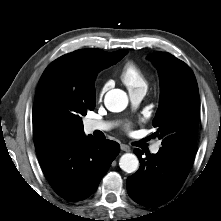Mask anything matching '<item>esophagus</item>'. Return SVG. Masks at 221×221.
Returning a JSON list of instances; mask_svg holds the SVG:
<instances>
[{"mask_svg":"<svg viewBox=\"0 0 221 221\" xmlns=\"http://www.w3.org/2000/svg\"><path fill=\"white\" fill-rule=\"evenodd\" d=\"M121 150L122 151H125V152H130L131 151V148L130 146L126 145V144H121Z\"/></svg>","mask_w":221,"mask_h":221,"instance_id":"obj_1","label":"esophagus"}]
</instances>
